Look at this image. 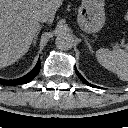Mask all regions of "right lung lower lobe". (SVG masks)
I'll list each match as a JSON object with an SVG mask.
<instances>
[{
  "label": "right lung lower lobe",
  "mask_w": 128,
  "mask_h": 128,
  "mask_svg": "<svg viewBox=\"0 0 128 128\" xmlns=\"http://www.w3.org/2000/svg\"><path fill=\"white\" fill-rule=\"evenodd\" d=\"M40 66L41 65H40V59H39L36 66L34 67V69L32 71H30L24 77H21V78L15 79V80L0 79V84L14 86V85H20V84L28 83L31 80H33L35 76H37V74L40 71Z\"/></svg>",
  "instance_id": "obj_1"
}]
</instances>
